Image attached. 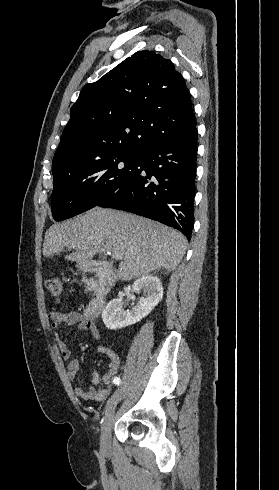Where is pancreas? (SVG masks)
<instances>
[{
  "label": "pancreas",
  "instance_id": "obj_1",
  "mask_svg": "<svg viewBox=\"0 0 279 490\" xmlns=\"http://www.w3.org/2000/svg\"><path fill=\"white\" fill-rule=\"evenodd\" d=\"M85 284H89V286H86L85 288V294H87V292H92V284H96V282H94V280H87Z\"/></svg>",
  "mask_w": 279,
  "mask_h": 490
}]
</instances>
